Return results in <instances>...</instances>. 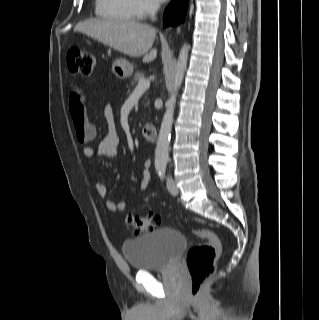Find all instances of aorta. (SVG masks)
I'll return each instance as SVG.
<instances>
[{"label": "aorta", "mask_w": 319, "mask_h": 320, "mask_svg": "<svg viewBox=\"0 0 319 320\" xmlns=\"http://www.w3.org/2000/svg\"><path fill=\"white\" fill-rule=\"evenodd\" d=\"M189 46L184 44L180 50L177 65L175 69V77L173 83V91L166 102V111L164 113L161 128L159 131L158 141L155 149V166L166 167L168 161V150L171 138V130L174 117V109L178 90L182 84L184 74L187 68Z\"/></svg>", "instance_id": "obj_1"}]
</instances>
